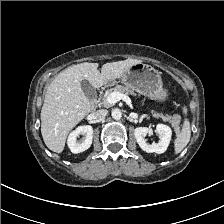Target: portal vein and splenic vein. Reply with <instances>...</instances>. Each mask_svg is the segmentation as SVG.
Returning <instances> with one entry per match:
<instances>
[{
	"label": "portal vein and splenic vein",
	"instance_id": "portal-vein-and-splenic-vein-1",
	"mask_svg": "<svg viewBox=\"0 0 224 224\" xmlns=\"http://www.w3.org/2000/svg\"><path fill=\"white\" fill-rule=\"evenodd\" d=\"M123 100L126 102L127 105H131V99L129 96L126 94H122L120 92H112L108 97H107V102L109 104H115L118 101Z\"/></svg>",
	"mask_w": 224,
	"mask_h": 224
}]
</instances>
